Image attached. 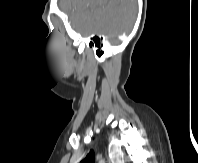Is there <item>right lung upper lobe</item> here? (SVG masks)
Returning <instances> with one entry per match:
<instances>
[{"label": "right lung upper lobe", "instance_id": "right-lung-upper-lobe-1", "mask_svg": "<svg viewBox=\"0 0 198 163\" xmlns=\"http://www.w3.org/2000/svg\"><path fill=\"white\" fill-rule=\"evenodd\" d=\"M95 161V156H94V153L93 151L91 150L87 156L85 157L84 160H82L80 163H94Z\"/></svg>", "mask_w": 198, "mask_h": 163}]
</instances>
